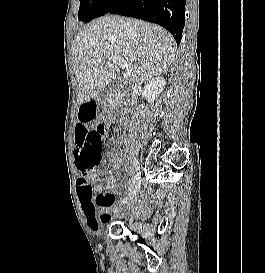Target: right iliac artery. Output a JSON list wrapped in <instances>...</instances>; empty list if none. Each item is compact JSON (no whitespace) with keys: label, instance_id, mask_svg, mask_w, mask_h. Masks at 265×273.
Masks as SVG:
<instances>
[{"label":"right iliac artery","instance_id":"82829eb1","mask_svg":"<svg viewBox=\"0 0 265 273\" xmlns=\"http://www.w3.org/2000/svg\"><path fill=\"white\" fill-rule=\"evenodd\" d=\"M132 164L136 171L139 170V163L136 159H132Z\"/></svg>","mask_w":265,"mask_h":273}]
</instances>
